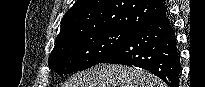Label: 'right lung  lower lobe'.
<instances>
[{
    "label": "right lung lower lobe",
    "instance_id": "1",
    "mask_svg": "<svg viewBox=\"0 0 205 87\" xmlns=\"http://www.w3.org/2000/svg\"><path fill=\"white\" fill-rule=\"evenodd\" d=\"M100 63H114L146 69L170 87H179L180 54L168 14L141 25Z\"/></svg>",
    "mask_w": 205,
    "mask_h": 87
}]
</instances>
